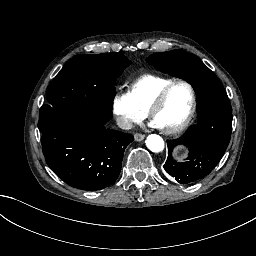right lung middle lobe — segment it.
<instances>
[{"mask_svg":"<svg viewBox=\"0 0 256 256\" xmlns=\"http://www.w3.org/2000/svg\"><path fill=\"white\" fill-rule=\"evenodd\" d=\"M130 60L122 53L78 55L70 59L47 89L39 130L53 122L89 118L106 123L112 117L113 83Z\"/></svg>","mask_w":256,"mask_h":256,"instance_id":"right-lung-middle-lobe-1","label":"right lung middle lobe"}]
</instances>
